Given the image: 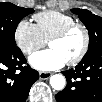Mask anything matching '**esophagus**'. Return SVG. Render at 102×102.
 Segmentation results:
<instances>
[{
	"label": "esophagus",
	"mask_w": 102,
	"mask_h": 102,
	"mask_svg": "<svg viewBox=\"0 0 102 102\" xmlns=\"http://www.w3.org/2000/svg\"><path fill=\"white\" fill-rule=\"evenodd\" d=\"M51 76H52V73H50V72H40L39 73V78L41 80H46V79L50 78Z\"/></svg>",
	"instance_id": "obj_1"
}]
</instances>
